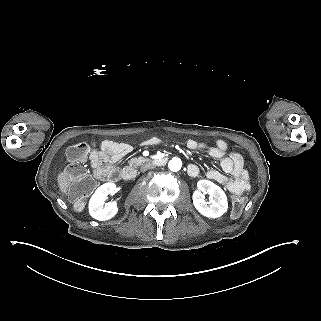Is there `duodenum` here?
I'll return each instance as SVG.
<instances>
[{"label": "duodenum", "instance_id": "duodenum-1", "mask_svg": "<svg viewBox=\"0 0 321 321\" xmlns=\"http://www.w3.org/2000/svg\"><path fill=\"white\" fill-rule=\"evenodd\" d=\"M167 162V158L161 157V158H156L153 160V163L156 166H163ZM136 176V170L133 167H126L123 169V171L120 174V178L124 181H130L134 179Z\"/></svg>", "mask_w": 321, "mask_h": 321}]
</instances>
